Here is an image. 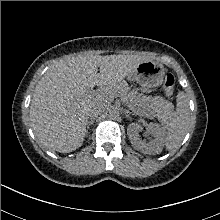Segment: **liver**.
Returning a JSON list of instances; mask_svg holds the SVG:
<instances>
[{
    "mask_svg": "<svg viewBox=\"0 0 220 220\" xmlns=\"http://www.w3.org/2000/svg\"><path fill=\"white\" fill-rule=\"evenodd\" d=\"M143 61L136 55H80L52 65L38 82L30 104L35 135L43 145L58 152L79 148L90 110L104 105L106 94L116 93L122 80ZM96 85L98 96L91 99L86 92Z\"/></svg>",
    "mask_w": 220,
    "mask_h": 220,
    "instance_id": "1",
    "label": "liver"
}]
</instances>
